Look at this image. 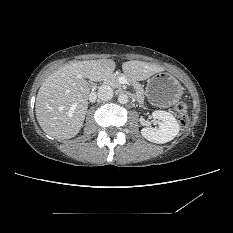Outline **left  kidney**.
<instances>
[{
  "mask_svg": "<svg viewBox=\"0 0 233 233\" xmlns=\"http://www.w3.org/2000/svg\"><path fill=\"white\" fill-rule=\"evenodd\" d=\"M152 116L160 122L158 128L145 127L141 130L142 136L148 141L157 144L167 143L179 133V124L169 112L156 110L152 113Z\"/></svg>",
  "mask_w": 233,
  "mask_h": 233,
  "instance_id": "obj_1",
  "label": "left kidney"
}]
</instances>
